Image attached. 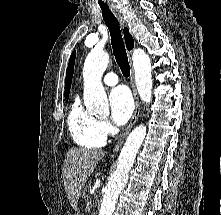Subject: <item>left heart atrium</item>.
<instances>
[{
  "mask_svg": "<svg viewBox=\"0 0 221 215\" xmlns=\"http://www.w3.org/2000/svg\"><path fill=\"white\" fill-rule=\"evenodd\" d=\"M111 117L118 125L125 124L134 110V102L130 91L125 86L113 89L109 96Z\"/></svg>",
  "mask_w": 221,
  "mask_h": 215,
  "instance_id": "39dd6f15",
  "label": "left heart atrium"
}]
</instances>
